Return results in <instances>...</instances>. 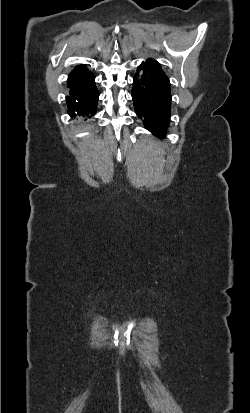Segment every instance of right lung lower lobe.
I'll return each mask as SVG.
<instances>
[{
  "instance_id": "obj_1",
  "label": "right lung lower lobe",
  "mask_w": 250,
  "mask_h": 413,
  "mask_svg": "<svg viewBox=\"0 0 250 413\" xmlns=\"http://www.w3.org/2000/svg\"><path fill=\"white\" fill-rule=\"evenodd\" d=\"M95 76L91 73L76 82H68L70 88L66 97L69 115L82 119L92 118L97 110L99 93L96 89Z\"/></svg>"
}]
</instances>
